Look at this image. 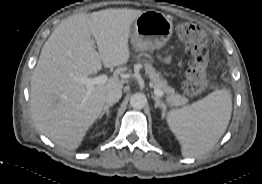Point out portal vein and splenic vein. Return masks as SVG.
<instances>
[{
  "mask_svg": "<svg viewBox=\"0 0 262 184\" xmlns=\"http://www.w3.org/2000/svg\"><path fill=\"white\" fill-rule=\"evenodd\" d=\"M75 80L80 83H83L87 88V94H90L95 85L106 83L108 81V77L105 74H101L94 78L78 77L75 78ZM154 93L158 97H162L164 95V92L157 88L154 89Z\"/></svg>",
  "mask_w": 262,
  "mask_h": 184,
  "instance_id": "portal-vein-and-splenic-vein-1",
  "label": "portal vein and splenic vein"
}]
</instances>
